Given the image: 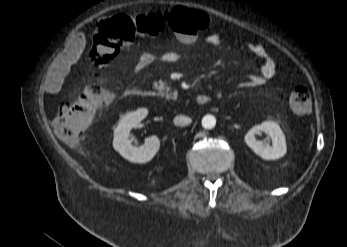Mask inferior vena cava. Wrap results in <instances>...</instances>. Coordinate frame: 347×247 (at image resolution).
<instances>
[{"mask_svg":"<svg viewBox=\"0 0 347 247\" xmlns=\"http://www.w3.org/2000/svg\"><path fill=\"white\" fill-rule=\"evenodd\" d=\"M176 126H187L191 123V119L184 115H178L173 120Z\"/></svg>","mask_w":347,"mask_h":247,"instance_id":"obj_1","label":"inferior vena cava"}]
</instances>
